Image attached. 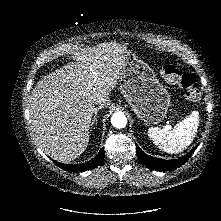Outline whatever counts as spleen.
<instances>
[{
	"mask_svg": "<svg viewBox=\"0 0 221 221\" xmlns=\"http://www.w3.org/2000/svg\"><path fill=\"white\" fill-rule=\"evenodd\" d=\"M199 126V113L192 112L179 122L172 130L151 127L148 136L161 150L168 153H178L185 150L194 140Z\"/></svg>",
	"mask_w": 221,
	"mask_h": 221,
	"instance_id": "1",
	"label": "spleen"
}]
</instances>
